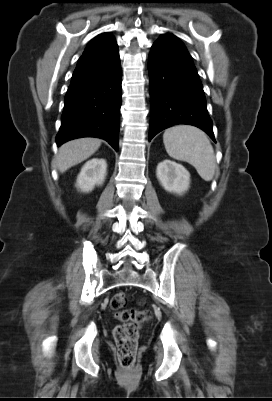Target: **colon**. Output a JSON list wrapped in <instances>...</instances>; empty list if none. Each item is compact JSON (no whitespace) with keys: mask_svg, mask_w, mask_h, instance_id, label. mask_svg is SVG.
Masks as SVG:
<instances>
[{"mask_svg":"<svg viewBox=\"0 0 272 401\" xmlns=\"http://www.w3.org/2000/svg\"><path fill=\"white\" fill-rule=\"evenodd\" d=\"M127 303L125 293H116L111 299V309L122 322L114 330V340L120 365L133 368L138 350L139 324L150 318V312L137 309H123Z\"/></svg>","mask_w":272,"mask_h":401,"instance_id":"1","label":"colon"}]
</instances>
